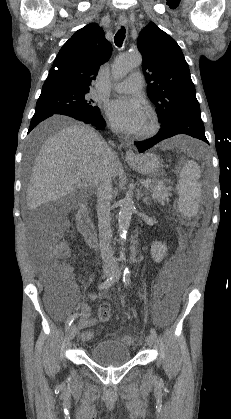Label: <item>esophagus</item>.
Segmentation results:
<instances>
[{"mask_svg":"<svg viewBox=\"0 0 231 419\" xmlns=\"http://www.w3.org/2000/svg\"><path fill=\"white\" fill-rule=\"evenodd\" d=\"M119 21H120V23L121 24H126L127 23V18L125 17V16H121L120 18H119ZM135 157H136V155H135V153H134V151L132 150V149H128V150H126V153H125V159L127 160V161H130V160H133V159H135Z\"/></svg>","mask_w":231,"mask_h":419,"instance_id":"obj_1","label":"esophagus"}]
</instances>
